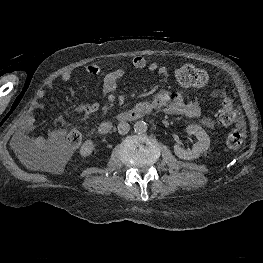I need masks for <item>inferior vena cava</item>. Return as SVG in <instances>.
<instances>
[{
    "label": "inferior vena cava",
    "instance_id": "inferior-vena-cava-1",
    "mask_svg": "<svg viewBox=\"0 0 263 263\" xmlns=\"http://www.w3.org/2000/svg\"><path fill=\"white\" fill-rule=\"evenodd\" d=\"M118 132L121 135L127 134L130 130V125L127 122H120L117 126Z\"/></svg>",
    "mask_w": 263,
    "mask_h": 263
}]
</instances>
